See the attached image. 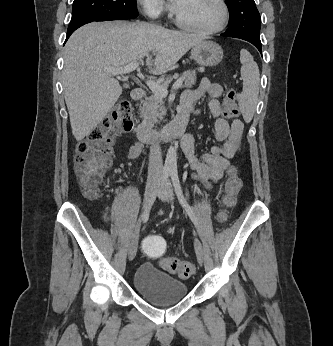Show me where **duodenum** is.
Masks as SVG:
<instances>
[{
	"label": "duodenum",
	"mask_w": 333,
	"mask_h": 346,
	"mask_svg": "<svg viewBox=\"0 0 333 346\" xmlns=\"http://www.w3.org/2000/svg\"><path fill=\"white\" fill-rule=\"evenodd\" d=\"M146 95L145 89L137 87L132 91V98L136 101L144 99ZM188 117L177 116L175 120L158 131L151 130L144 124L136 127V135L141 142H162L177 137H186L188 135Z\"/></svg>",
	"instance_id": "duodenum-1"
}]
</instances>
